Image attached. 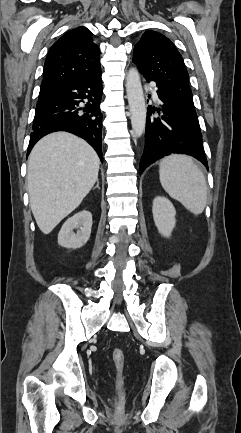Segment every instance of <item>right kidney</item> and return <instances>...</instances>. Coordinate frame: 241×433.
<instances>
[{"label": "right kidney", "mask_w": 241, "mask_h": 433, "mask_svg": "<svg viewBox=\"0 0 241 433\" xmlns=\"http://www.w3.org/2000/svg\"><path fill=\"white\" fill-rule=\"evenodd\" d=\"M92 228V214L82 210L68 218L58 234V244L65 248L77 249L87 243ZM74 229H79L74 233Z\"/></svg>", "instance_id": "1"}]
</instances>
